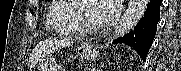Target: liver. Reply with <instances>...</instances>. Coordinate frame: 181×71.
<instances>
[{
	"mask_svg": "<svg viewBox=\"0 0 181 71\" xmlns=\"http://www.w3.org/2000/svg\"><path fill=\"white\" fill-rule=\"evenodd\" d=\"M72 42L67 39H47L40 44L33 50L30 59H29V67L32 68L35 66V64L40 61L44 56L47 54H50L51 52L71 46Z\"/></svg>",
	"mask_w": 181,
	"mask_h": 71,
	"instance_id": "1",
	"label": "liver"
}]
</instances>
